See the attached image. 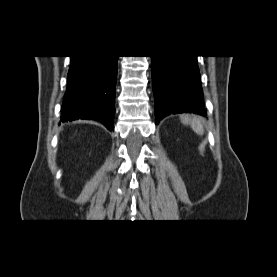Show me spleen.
Instances as JSON below:
<instances>
[{"mask_svg":"<svg viewBox=\"0 0 277 277\" xmlns=\"http://www.w3.org/2000/svg\"><path fill=\"white\" fill-rule=\"evenodd\" d=\"M181 121L185 125H190L197 134L202 135L204 133V127L199 118L194 117L191 119L188 116H183L181 117Z\"/></svg>","mask_w":277,"mask_h":277,"instance_id":"obj_1","label":"spleen"}]
</instances>
